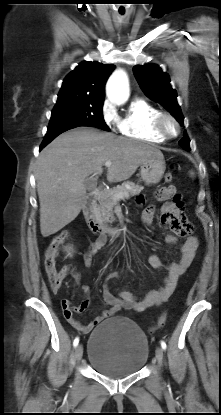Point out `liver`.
I'll return each mask as SVG.
<instances>
[{
	"label": "liver",
	"mask_w": 221,
	"mask_h": 415,
	"mask_svg": "<svg viewBox=\"0 0 221 415\" xmlns=\"http://www.w3.org/2000/svg\"><path fill=\"white\" fill-rule=\"evenodd\" d=\"M152 157L163 154L157 147L95 128L79 127L58 136L37 160L42 236L55 234L78 216L87 198L85 178L102 174L106 161L112 163L107 180L121 182Z\"/></svg>",
	"instance_id": "liver-1"
}]
</instances>
